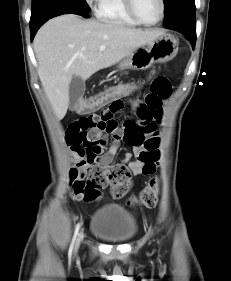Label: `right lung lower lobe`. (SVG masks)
I'll return each instance as SVG.
<instances>
[{
  "label": "right lung lower lobe",
  "mask_w": 231,
  "mask_h": 281,
  "mask_svg": "<svg viewBox=\"0 0 231 281\" xmlns=\"http://www.w3.org/2000/svg\"><path fill=\"white\" fill-rule=\"evenodd\" d=\"M66 13H74L88 18L89 15L78 4L69 0H42L37 6L32 8L30 19L31 40L37 30L47 20Z\"/></svg>",
  "instance_id": "right-lung-lower-lobe-1"
}]
</instances>
